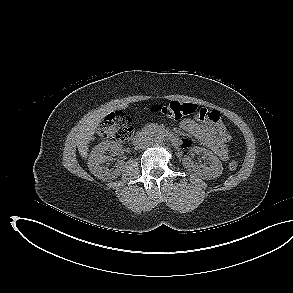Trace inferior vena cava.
I'll use <instances>...</instances> for the list:
<instances>
[{
	"instance_id": "602c4592",
	"label": "inferior vena cava",
	"mask_w": 293,
	"mask_h": 293,
	"mask_svg": "<svg viewBox=\"0 0 293 293\" xmlns=\"http://www.w3.org/2000/svg\"><path fill=\"white\" fill-rule=\"evenodd\" d=\"M152 143V140L150 137H139L135 141V148L136 149H145L148 146H150Z\"/></svg>"
}]
</instances>
